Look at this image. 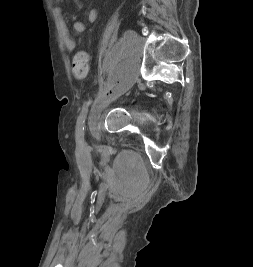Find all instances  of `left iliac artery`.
I'll list each match as a JSON object with an SVG mask.
<instances>
[{
	"mask_svg": "<svg viewBox=\"0 0 253 267\" xmlns=\"http://www.w3.org/2000/svg\"><path fill=\"white\" fill-rule=\"evenodd\" d=\"M88 113V106L84 107L77 119L76 123V136L77 138L82 141L84 136V126H85V120Z\"/></svg>",
	"mask_w": 253,
	"mask_h": 267,
	"instance_id": "1",
	"label": "left iliac artery"
}]
</instances>
